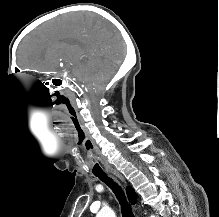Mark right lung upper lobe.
I'll use <instances>...</instances> for the list:
<instances>
[{"label":"right lung upper lobe","mask_w":219,"mask_h":217,"mask_svg":"<svg viewBox=\"0 0 219 217\" xmlns=\"http://www.w3.org/2000/svg\"><path fill=\"white\" fill-rule=\"evenodd\" d=\"M127 195H128L129 201L131 203H135V201H136V194H135V192L133 191V189L131 187L127 188Z\"/></svg>","instance_id":"cb5924a9"}]
</instances>
